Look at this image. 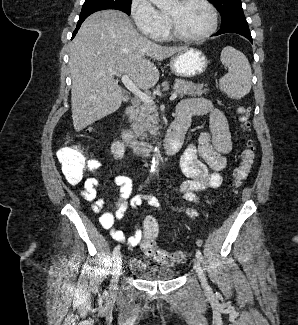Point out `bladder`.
I'll return each mask as SVG.
<instances>
[{"label":"bladder","instance_id":"31cf9c89","mask_svg":"<svg viewBox=\"0 0 298 325\" xmlns=\"http://www.w3.org/2000/svg\"><path fill=\"white\" fill-rule=\"evenodd\" d=\"M128 270L134 277L147 282H165L176 275L172 268L154 265L141 257H133L128 264Z\"/></svg>","mask_w":298,"mask_h":325}]
</instances>
